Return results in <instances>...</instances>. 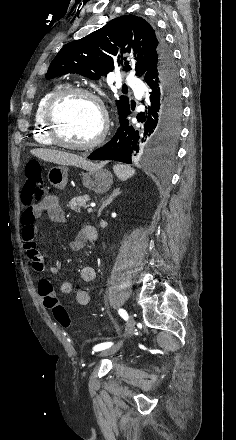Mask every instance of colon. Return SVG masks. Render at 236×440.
<instances>
[{
  "label": "colon",
  "mask_w": 236,
  "mask_h": 440,
  "mask_svg": "<svg viewBox=\"0 0 236 440\" xmlns=\"http://www.w3.org/2000/svg\"><path fill=\"white\" fill-rule=\"evenodd\" d=\"M25 182L22 191V202L29 205L33 201L41 199L44 193V182L41 167L38 162H28L24 169ZM39 292L44 297L48 307L52 310L56 321L64 327H69L72 319L66 309L59 303L53 293L52 285L47 280L39 283Z\"/></svg>",
  "instance_id": "5ec220e1"
}]
</instances>
